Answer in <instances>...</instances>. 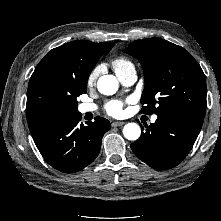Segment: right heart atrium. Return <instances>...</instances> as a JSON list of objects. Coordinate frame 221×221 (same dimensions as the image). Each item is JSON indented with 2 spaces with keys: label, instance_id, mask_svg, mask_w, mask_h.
Instances as JSON below:
<instances>
[{
  "label": "right heart atrium",
  "instance_id": "right-heart-atrium-1",
  "mask_svg": "<svg viewBox=\"0 0 221 221\" xmlns=\"http://www.w3.org/2000/svg\"><path fill=\"white\" fill-rule=\"evenodd\" d=\"M100 68L96 66L93 68V70L90 72L87 78V85L93 86L96 83L97 77L99 75Z\"/></svg>",
  "mask_w": 221,
  "mask_h": 221
}]
</instances>
